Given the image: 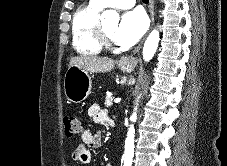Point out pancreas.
Segmentation results:
<instances>
[{"mask_svg": "<svg viewBox=\"0 0 227 166\" xmlns=\"http://www.w3.org/2000/svg\"><path fill=\"white\" fill-rule=\"evenodd\" d=\"M105 106L106 107H110L113 105V97L111 96H106V99H105Z\"/></svg>", "mask_w": 227, "mask_h": 166, "instance_id": "1", "label": "pancreas"}]
</instances>
